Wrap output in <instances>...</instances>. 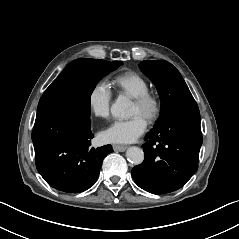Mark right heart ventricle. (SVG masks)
I'll return each instance as SVG.
<instances>
[{"label":"right heart ventricle","mask_w":239,"mask_h":239,"mask_svg":"<svg viewBox=\"0 0 239 239\" xmlns=\"http://www.w3.org/2000/svg\"><path fill=\"white\" fill-rule=\"evenodd\" d=\"M115 86L124 93L135 97L149 90V82L141 74L135 71H128L113 78Z\"/></svg>","instance_id":"obj_1"}]
</instances>
